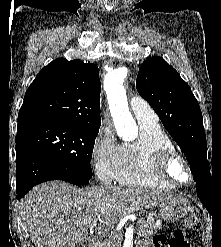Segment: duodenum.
Returning <instances> with one entry per match:
<instances>
[{
    "label": "duodenum",
    "mask_w": 221,
    "mask_h": 247,
    "mask_svg": "<svg viewBox=\"0 0 221 247\" xmlns=\"http://www.w3.org/2000/svg\"><path fill=\"white\" fill-rule=\"evenodd\" d=\"M86 247H97V242L93 238H89L86 242Z\"/></svg>",
    "instance_id": "obj_1"
}]
</instances>
